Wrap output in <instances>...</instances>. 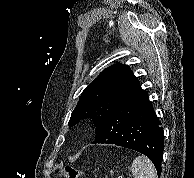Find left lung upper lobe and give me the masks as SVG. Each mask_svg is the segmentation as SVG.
Returning a JSON list of instances; mask_svg holds the SVG:
<instances>
[{"label": "left lung upper lobe", "mask_w": 194, "mask_h": 178, "mask_svg": "<svg viewBox=\"0 0 194 178\" xmlns=\"http://www.w3.org/2000/svg\"><path fill=\"white\" fill-rule=\"evenodd\" d=\"M141 91L140 82L128 66H110L82 92L71 114L69 127L86 118H91L97 126L120 102Z\"/></svg>", "instance_id": "1"}]
</instances>
